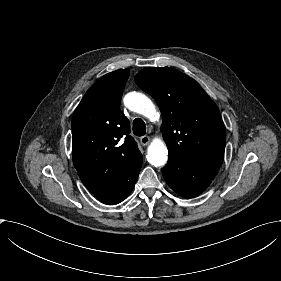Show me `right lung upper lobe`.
Instances as JSON below:
<instances>
[{
    "instance_id": "obj_1",
    "label": "right lung upper lobe",
    "mask_w": 281,
    "mask_h": 281,
    "mask_svg": "<svg viewBox=\"0 0 281 281\" xmlns=\"http://www.w3.org/2000/svg\"><path fill=\"white\" fill-rule=\"evenodd\" d=\"M129 77L119 69L101 77L84 95L72 118L73 164L93 194L114 183L141 155L120 110Z\"/></svg>"
}]
</instances>
